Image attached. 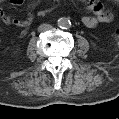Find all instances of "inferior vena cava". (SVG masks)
Instances as JSON below:
<instances>
[{"instance_id": "obj_1", "label": "inferior vena cava", "mask_w": 119, "mask_h": 119, "mask_svg": "<svg viewBox=\"0 0 119 119\" xmlns=\"http://www.w3.org/2000/svg\"><path fill=\"white\" fill-rule=\"evenodd\" d=\"M52 28V26L50 24H41L39 27H38V31L39 32H46L48 30H50Z\"/></svg>"}]
</instances>
